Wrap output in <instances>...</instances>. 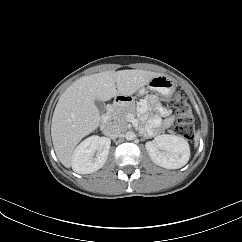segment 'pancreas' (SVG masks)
<instances>
[{"label":"pancreas","mask_w":242,"mask_h":242,"mask_svg":"<svg viewBox=\"0 0 242 242\" xmlns=\"http://www.w3.org/2000/svg\"><path fill=\"white\" fill-rule=\"evenodd\" d=\"M129 114L133 116L136 114L134 103L114 107L110 112V117L113 123L120 125L122 128H126L127 116Z\"/></svg>","instance_id":"cf45deb5"}]
</instances>
